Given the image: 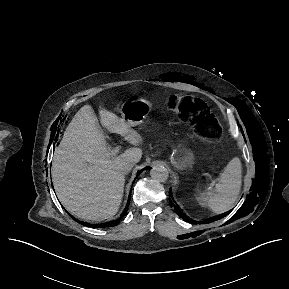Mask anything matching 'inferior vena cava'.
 I'll return each instance as SVG.
<instances>
[{
	"label": "inferior vena cava",
	"mask_w": 289,
	"mask_h": 289,
	"mask_svg": "<svg viewBox=\"0 0 289 289\" xmlns=\"http://www.w3.org/2000/svg\"><path fill=\"white\" fill-rule=\"evenodd\" d=\"M134 164L132 162H125L122 164L121 166V171L124 173V174H127L131 171V169L133 168Z\"/></svg>",
	"instance_id": "602c4592"
}]
</instances>
